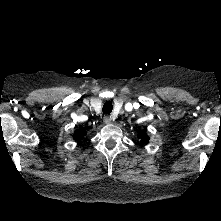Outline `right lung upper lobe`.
Here are the masks:
<instances>
[{
  "label": "right lung upper lobe",
  "instance_id": "obj_1",
  "mask_svg": "<svg viewBox=\"0 0 221 221\" xmlns=\"http://www.w3.org/2000/svg\"><path fill=\"white\" fill-rule=\"evenodd\" d=\"M86 131L83 128H80L74 132V139L80 143L83 139H85Z\"/></svg>",
  "mask_w": 221,
  "mask_h": 221
}]
</instances>
